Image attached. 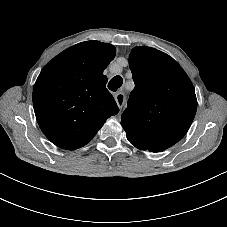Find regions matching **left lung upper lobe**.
Segmentation results:
<instances>
[{
  "mask_svg": "<svg viewBox=\"0 0 227 227\" xmlns=\"http://www.w3.org/2000/svg\"><path fill=\"white\" fill-rule=\"evenodd\" d=\"M135 88L121 124L136 148L163 151L187 133L197 109L193 84L169 55L135 47L129 56Z\"/></svg>",
  "mask_w": 227,
  "mask_h": 227,
  "instance_id": "obj_1",
  "label": "left lung upper lobe"
}]
</instances>
